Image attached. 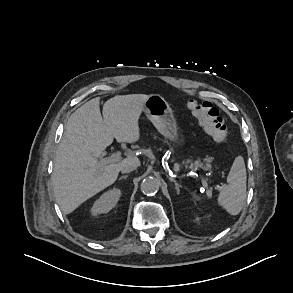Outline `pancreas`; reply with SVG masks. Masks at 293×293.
Listing matches in <instances>:
<instances>
[{
	"label": "pancreas",
	"instance_id": "obj_1",
	"mask_svg": "<svg viewBox=\"0 0 293 293\" xmlns=\"http://www.w3.org/2000/svg\"><path fill=\"white\" fill-rule=\"evenodd\" d=\"M204 161H205V164H203L200 161V159H197L194 162H192L191 160L188 159V160L184 161L183 163L185 164V167H187L188 164L190 163V165H189L190 168H202L204 170H210L211 165L209 163L211 162V159L210 158H205Z\"/></svg>",
	"mask_w": 293,
	"mask_h": 293
}]
</instances>
